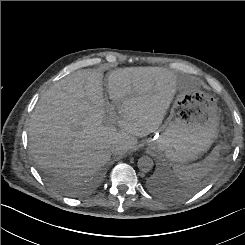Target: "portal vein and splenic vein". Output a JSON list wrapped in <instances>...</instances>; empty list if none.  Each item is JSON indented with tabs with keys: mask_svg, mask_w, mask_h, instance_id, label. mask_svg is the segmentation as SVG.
I'll list each match as a JSON object with an SVG mask.
<instances>
[{
	"mask_svg": "<svg viewBox=\"0 0 245 245\" xmlns=\"http://www.w3.org/2000/svg\"><path fill=\"white\" fill-rule=\"evenodd\" d=\"M108 117L106 119V123L108 125H112L115 123L116 119H117V115L116 112L114 111V107L112 105L108 106Z\"/></svg>",
	"mask_w": 245,
	"mask_h": 245,
	"instance_id": "18ae733b",
	"label": "portal vein and splenic vein"
}]
</instances>
